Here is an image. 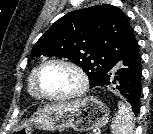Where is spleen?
I'll return each mask as SVG.
<instances>
[{
	"instance_id": "obj_1",
	"label": "spleen",
	"mask_w": 153,
	"mask_h": 134,
	"mask_svg": "<svg viewBox=\"0 0 153 134\" xmlns=\"http://www.w3.org/2000/svg\"><path fill=\"white\" fill-rule=\"evenodd\" d=\"M114 134H133L134 122L131 107L123 102L118 103V112L112 121Z\"/></svg>"
}]
</instances>
